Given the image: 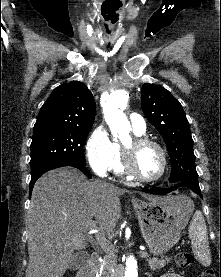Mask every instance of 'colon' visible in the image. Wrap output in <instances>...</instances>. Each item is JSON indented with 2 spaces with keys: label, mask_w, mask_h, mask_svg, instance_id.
<instances>
[{
  "label": "colon",
  "mask_w": 221,
  "mask_h": 277,
  "mask_svg": "<svg viewBox=\"0 0 221 277\" xmlns=\"http://www.w3.org/2000/svg\"><path fill=\"white\" fill-rule=\"evenodd\" d=\"M175 262L180 268H188L194 263V258L190 253L180 251L175 256ZM199 277H216V275L212 270H205Z\"/></svg>",
  "instance_id": "1"
}]
</instances>
